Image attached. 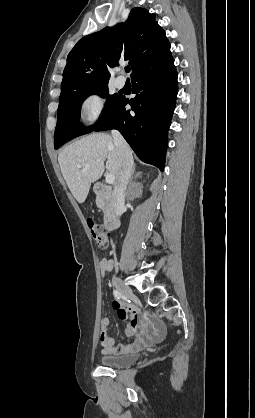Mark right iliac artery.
Segmentation results:
<instances>
[{"mask_svg": "<svg viewBox=\"0 0 255 418\" xmlns=\"http://www.w3.org/2000/svg\"><path fill=\"white\" fill-rule=\"evenodd\" d=\"M113 294H114V297L118 300H120L122 298V295L118 290H114Z\"/></svg>", "mask_w": 255, "mask_h": 418, "instance_id": "1", "label": "right iliac artery"}]
</instances>
